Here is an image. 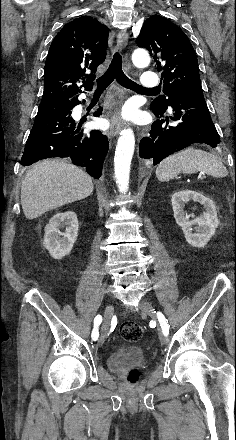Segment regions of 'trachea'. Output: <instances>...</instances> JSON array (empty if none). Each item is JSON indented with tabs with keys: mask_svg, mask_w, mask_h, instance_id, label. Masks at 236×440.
<instances>
[{
	"mask_svg": "<svg viewBox=\"0 0 236 440\" xmlns=\"http://www.w3.org/2000/svg\"><path fill=\"white\" fill-rule=\"evenodd\" d=\"M116 79V81L125 88L136 90V91H147L151 89H144L131 79H129L122 69V57L119 52H116L113 56L111 64L108 70L97 79L96 91L105 90L111 82Z\"/></svg>",
	"mask_w": 236,
	"mask_h": 440,
	"instance_id": "obj_1",
	"label": "trachea"
}]
</instances>
